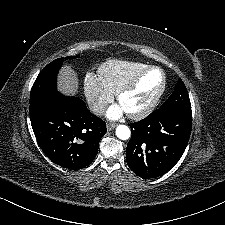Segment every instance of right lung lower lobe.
I'll return each mask as SVG.
<instances>
[{"label": "right lung lower lobe", "instance_id": "right-lung-lower-lobe-1", "mask_svg": "<svg viewBox=\"0 0 225 225\" xmlns=\"http://www.w3.org/2000/svg\"><path fill=\"white\" fill-rule=\"evenodd\" d=\"M37 142L55 164L78 170L93 162L106 124L77 97L50 93L30 103Z\"/></svg>", "mask_w": 225, "mask_h": 225}]
</instances>
